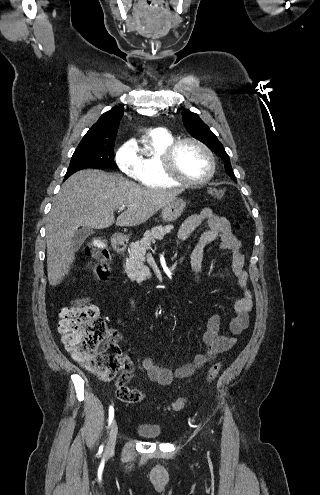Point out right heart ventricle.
I'll use <instances>...</instances> for the list:
<instances>
[{
    "label": "right heart ventricle",
    "instance_id": "1",
    "mask_svg": "<svg viewBox=\"0 0 320 495\" xmlns=\"http://www.w3.org/2000/svg\"><path fill=\"white\" fill-rule=\"evenodd\" d=\"M174 141L170 134L147 135L148 150L140 156L142 184L149 188L166 189L180 184L171 180L163 170L162 154Z\"/></svg>",
    "mask_w": 320,
    "mask_h": 495
}]
</instances>
